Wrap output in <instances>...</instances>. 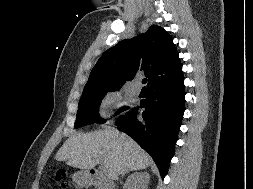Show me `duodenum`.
Listing matches in <instances>:
<instances>
[{
  "mask_svg": "<svg viewBox=\"0 0 253 189\" xmlns=\"http://www.w3.org/2000/svg\"><path fill=\"white\" fill-rule=\"evenodd\" d=\"M79 182L82 186H95L99 189H112L107 176L96 169L83 171L79 175Z\"/></svg>",
  "mask_w": 253,
  "mask_h": 189,
  "instance_id": "410a0bca",
  "label": "duodenum"
}]
</instances>
